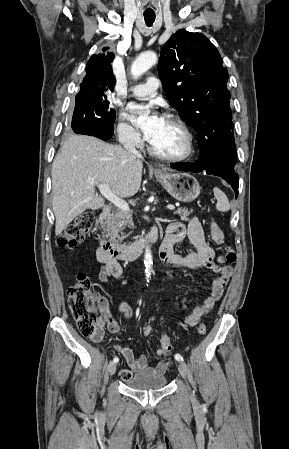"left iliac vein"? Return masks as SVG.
Wrapping results in <instances>:
<instances>
[{
	"label": "left iliac vein",
	"instance_id": "left-iliac-vein-1",
	"mask_svg": "<svg viewBox=\"0 0 289 449\" xmlns=\"http://www.w3.org/2000/svg\"><path fill=\"white\" fill-rule=\"evenodd\" d=\"M178 371H179L180 375H181L184 379H186V377H187V372H188V367H187V365H186L185 362H183V361L179 362V365H178Z\"/></svg>",
	"mask_w": 289,
	"mask_h": 449
}]
</instances>
